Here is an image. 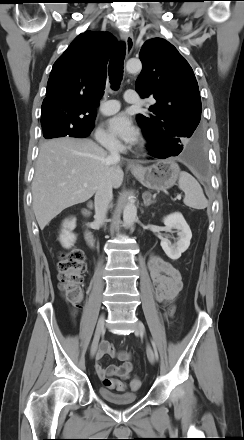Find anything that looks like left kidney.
Segmentation results:
<instances>
[{"instance_id":"5707ae66","label":"left kidney","mask_w":244,"mask_h":440,"mask_svg":"<svg viewBox=\"0 0 244 440\" xmlns=\"http://www.w3.org/2000/svg\"><path fill=\"white\" fill-rule=\"evenodd\" d=\"M163 223L168 230L176 229L178 231V240L175 244H172L168 237L161 240V247L166 255L172 260H177L190 245L192 238L190 227L186 223L183 215L178 212L165 217Z\"/></svg>"}]
</instances>
